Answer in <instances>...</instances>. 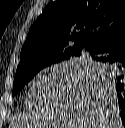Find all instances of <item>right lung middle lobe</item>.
<instances>
[{
  "label": "right lung middle lobe",
  "instance_id": "obj_1",
  "mask_svg": "<svg viewBox=\"0 0 125 128\" xmlns=\"http://www.w3.org/2000/svg\"><path fill=\"white\" fill-rule=\"evenodd\" d=\"M66 60L69 59L53 58L31 64L26 68L16 71L13 85V96H15L40 70L54 65H58L60 67V65H62ZM88 70L93 71L99 76L106 77L105 72L96 71L95 68H89Z\"/></svg>",
  "mask_w": 125,
  "mask_h": 128
}]
</instances>
